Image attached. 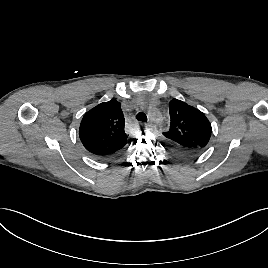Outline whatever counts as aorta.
Masks as SVG:
<instances>
[{"label": "aorta", "mask_w": 268, "mask_h": 268, "mask_svg": "<svg viewBox=\"0 0 268 268\" xmlns=\"http://www.w3.org/2000/svg\"><path fill=\"white\" fill-rule=\"evenodd\" d=\"M150 117L151 120L155 123V124H160L161 123V119H160V113L158 112H151L150 113Z\"/></svg>", "instance_id": "1"}]
</instances>
